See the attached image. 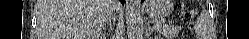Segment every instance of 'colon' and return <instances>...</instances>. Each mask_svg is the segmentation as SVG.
Wrapping results in <instances>:
<instances>
[{
	"label": "colon",
	"instance_id": "obj_1",
	"mask_svg": "<svg viewBox=\"0 0 249 39\" xmlns=\"http://www.w3.org/2000/svg\"><path fill=\"white\" fill-rule=\"evenodd\" d=\"M188 16L191 17V13H188Z\"/></svg>",
	"mask_w": 249,
	"mask_h": 39
}]
</instances>
